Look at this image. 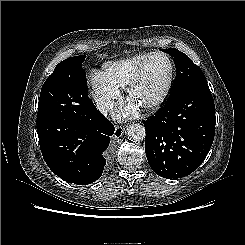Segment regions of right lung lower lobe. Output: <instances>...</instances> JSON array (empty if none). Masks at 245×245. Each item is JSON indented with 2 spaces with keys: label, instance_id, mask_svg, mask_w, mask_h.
<instances>
[{
  "label": "right lung lower lobe",
  "instance_id": "98d812e1",
  "mask_svg": "<svg viewBox=\"0 0 245 245\" xmlns=\"http://www.w3.org/2000/svg\"><path fill=\"white\" fill-rule=\"evenodd\" d=\"M37 132L44 161L61 179L87 185L102 175L106 165L102 154L109 146L114 126L95 106L84 121L38 118Z\"/></svg>",
  "mask_w": 245,
  "mask_h": 245
}]
</instances>
